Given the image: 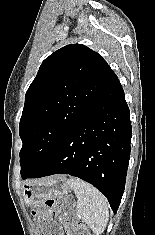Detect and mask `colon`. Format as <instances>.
<instances>
[{"mask_svg":"<svg viewBox=\"0 0 155 235\" xmlns=\"http://www.w3.org/2000/svg\"><path fill=\"white\" fill-rule=\"evenodd\" d=\"M74 203L70 198L49 199L37 206L34 213L39 235H90L84 222L74 215ZM60 223L64 230L60 232Z\"/></svg>","mask_w":155,"mask_h":235,"instance_id":"5ec220e1","label":"colon"}]
</instances>
